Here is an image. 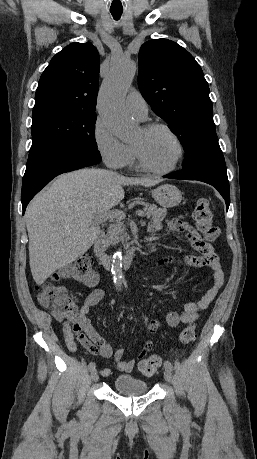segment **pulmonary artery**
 I'll list each match as a JSON object with an SVG mask.
<instances>
[{
	"instance_id": "1",
	"label": "pulmonary artery",
	"mask_w": 257,
	"mask_h": 459,
	"mask_svg": "<svg viewBox=\"0 0 257 459\" xmlns=\"http://www.w3.org/2000/svg\"><path fill=\"white\" fill-rule=\"evenodd\" d=\"M125 107L129 113L144 120L147 116L148 106L143 96L136 90L131 91L125 100Z\"/></svg>"
}]
</instances>
